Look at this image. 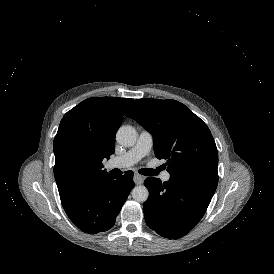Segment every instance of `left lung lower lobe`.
I'll return each instance as SVG.
<instances>
[{
  "label": "left lung lower lobe",
  "instance_id": "1",
  "mask_svg": "<svg viewBox=\"0 0 274 274\" xmlns=\"http://www.w3.org/2000/svg\"><path fill=\"white\" fill-rule=\"evenodd\" d=\"M144 185L149 197L144 203L147 225L166 238H180L187 234L203 217L216 187L170 177H148Z\"/></svg>",
  "mask_w": 274,
  "mask_h": 274
}]
</instances>
